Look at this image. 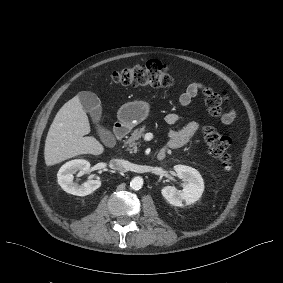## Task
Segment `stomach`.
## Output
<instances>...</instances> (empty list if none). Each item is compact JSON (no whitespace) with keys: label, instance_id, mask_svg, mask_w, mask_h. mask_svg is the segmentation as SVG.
<instances>
[{"label":"stomach","instance_id":"1","mask_svg":"<svg viewBox=\"0 0 283 283\" xmlns=\"http://www.w3.org/2000/svg\"><path fill=\"white\" fill-rule=\"evenodd\" d=\"M148 116L146 115V109L143 105L130 102L127 103L123 110H119L117 114L118 120L124 125L130 128L136 126L145 120Z\"/></svg>","mask_w":283,"mask_h":283}]
</instances>
